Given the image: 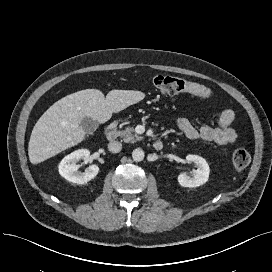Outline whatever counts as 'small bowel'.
I'll return each mask as SVG.
<instances>
[{
    "label": "small bowel",
    "instance_id": "small-bowel-1",
    "mask_svg": "<svg viewBox=\"0 0 272 272\" xmlns=\"http://www.w3.org/2000/svg\"><path fill=\"white\" fill-rule=\"evenodd\" d=\"M234 118V111L229 107H223L215 126L208 123L194 126L186 118L177 119L175 125L190 140H203L226 145L237 139V133L231 126Z\"/></svg>",
    "mask_w": 272,
    "mask_h": 272
}]
</instances>
